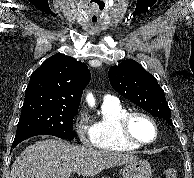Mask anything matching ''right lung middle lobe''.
<instances>
[{"instance_id":"obj_1","label":"right lung middle lobe","mask_w":194,"mask_h":178,"mask_svg":"<svg viewBox=\"0 0 194 178\" xmlns=\"http://www.w3.org/2000/svg\"><path fill=\"white\" fill-rule=\"evenodd\" d=\"M78 107L50 99L25 100L17 125L16 136L28 133L73 139V118Z\"/></svg>"}]
</instances>
